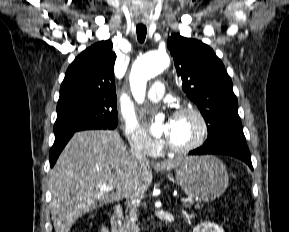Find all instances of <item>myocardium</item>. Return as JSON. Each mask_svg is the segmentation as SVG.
I'll use <instances>...</instances> for the list:
<instances>
[{
  "label": "myocardium",
  "mask_w": 289,
  "mask_h": 232,
  "mask_svg": "<svg viewBox=\"0 0 289 232\" xmlns=\"http://www.w3.org/2000/svg\"><path fill=\"white\" fill-rule=\"evenodd\" d=\"M186 113L192 114L196 117L200 125V133L194 142H192L189 145L182 146V147L173 146L167 141L166 148L168 149V151L175 153V154H185V153H189L198 149L205 143L209 134V125H208V121L205 115L202 113L200 109H198L197 107L193 105H185V106L179 107L173 113V117L186 114Z\"/></svg>",
  "instance_id": "f54148a6"
}]
</instances>
